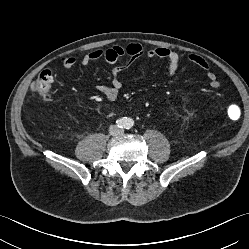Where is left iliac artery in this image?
<instances>
[{"label": "left iliac artery", "mask_w": 249, "mask_h": 249, "mask_svg": "<svg viewBox=\"0 0 249 249\" xmlns=\"http://www.w3.org/2000/svg\"><path fill=\"white\" fill-rule=\"evenodd\" d=\"M127 129H130V128H132V126H133V121L131 120V119H129L128 121H127Z\"/></svg>", "instance_id": "1"}]
</instances>
